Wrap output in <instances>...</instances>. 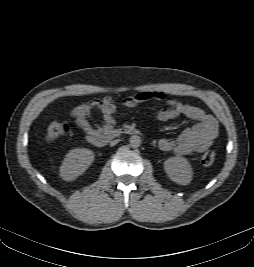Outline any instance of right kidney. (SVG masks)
<instances>
[{
    "instance_id": "1",
    "label": "right kidney",
    "mask_w": 254,
    "mask_h": 267,
    "mask_svg": "<svg viewBox=\"0 0 254 267\" xmlns=\"http://www.w3.org/2000/svg\"><path fill=\"white\" fill-rule=\"evenodd\" d=\"M94 153L86 148L70 150L60 167V176L65 181L75 180L82 175L92 164Z\"/></svg>"
}]
</instances>
